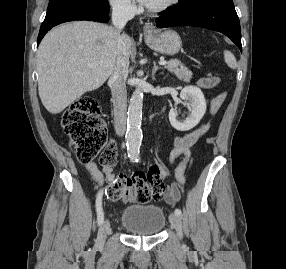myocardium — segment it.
Returning <instances> with one entry per match:
<instances>
[{
    "label": "myocardium",
    "mask_w": 286,
    "mask_h": 269,
    "mask_svg": "<svg viewBox=\"0 0 286 269\" xmlns=\"http://www.w3.org/2000/svg\"><path fill=\"white\" fill-rule=\"evenodd\" d=\"M178 2H179V0H166L163 3H161L160 5H157V6H147L146 10L149 13H153V14L162 13V12H165V11L171 9Z\"/></svg>",
    "instance_id": "f54148a6"
}]
</instances>
